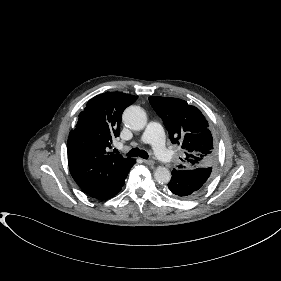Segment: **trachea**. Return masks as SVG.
<instances>
[{
  "instance_id": "trachea-1",
  "label": "trachea",
  "mask_w": 281,
  "mask_h": 281,
  "mask_svg": "<svg viewBox=\"0 0 281 281\" xmlns=\"http://www.w3.org/2000/svg\"><path fill=\"white\" fill-rule=\"evenodd\" d=\"M127 156H132V157H141L143 159H148V153L144 150H140L139 148H133L131 149L128 153Z\"/></svg>"
}]
</instances>
